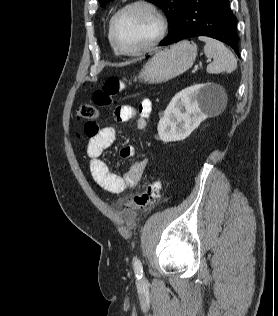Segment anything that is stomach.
Masks as SVG:
<instances>
[{
  "label": "stomach",
  "mask_w": 278,
  "mask_h": 316,
  "mask_svg": "<svg viewBox=\"0 0 278 316\" xmlns=\"http://www.w3.org/2000/svg\"><path fill=\"white\" fill-rule=\"evenodd\" d=\"M196 55V44L182 41L151 57L139 73L138 79L148 83L168 81L186 72L193 65Z\"/></svg>",
  "instance_id": "0dacf381"
}]
</instances>
